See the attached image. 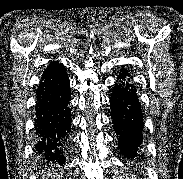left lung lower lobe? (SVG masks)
<instances>
[{"label":"left lung lower lobe","mask_w":183,"mask_h":179,"mask_svg":"<svg viewBox=\"0 0 183 179\" xmlns=\"http://www.w3.org/2000/svg\"><path fill=\"white\" fill-rule=\"evenodd\" d=\"M130 76L125 69L120 71L111 98V119L118 137V147L127 158L137 156L142 143L143 115L135 86L125 81ZM124 80V81H123Z\"/></svg>","instance_id":"1"}]
</instances>
